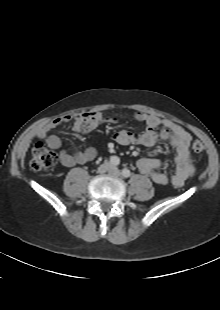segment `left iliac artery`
<instances>
[{
	"instance_id": "44dca946",
	"label": "left iliac artery",
	"mask_w": 220,
	"mask_h": 310,
	"mask_svg": "<svg viewBox=\"0 0 220 310\" xmlns=\"http://www.w3.org/2000/svg\"><path fill=\"white\" fill-rule=\"evenodd\" d=\"M130 175H131L130 170H128L126 168L122 170V176L123 177L128 178V177H130Z\"/></svg>"
}]
</instances>
